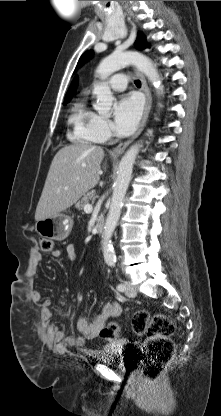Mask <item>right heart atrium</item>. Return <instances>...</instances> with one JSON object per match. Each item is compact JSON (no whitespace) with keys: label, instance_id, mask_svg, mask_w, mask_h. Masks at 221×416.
<instances>
[{"label":"right heart atrium","instance_id":"d8ad5b80","mask_svg":"<svg viewBox=\"0 0 221 416\" xmlns=\"http://www.w3.org/2000/svg\"><path fill=\"white\" fill-rule=\"evenodd\" d=\"M93 127L101 140H108L113 136L112 123L104 116L95 114Z\"/></svg>","mask_w":221,"mask_h":416}]
</instances>
